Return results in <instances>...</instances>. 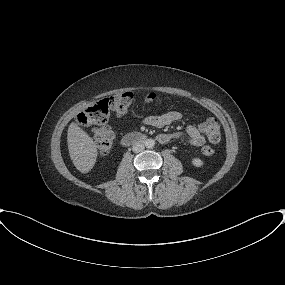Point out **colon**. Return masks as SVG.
<instances>
[{
    "mask_svg": "<svg viewBox=\"0 0 285 285\" xmlns=\"http://www.w3.org/2000/svg\"><path fill=\"white\" fill-rule=\"evenodd\" d=\"M135 99V95L131 92L119 93L97 102L78 114L77 120L81 125L95 129L97 149L100 154L106 155L109 153L114 142V133L106 125L109 116L111 114H126ZM162 100L163 99L155 93H150L143 97V101L146 104H157L162 102ZM201 129L207 135L211 143L218 144L220 142L221 128L216 119L208 117L201 124ZM202 153L206 156H211L214 154V149L211 146H204Z\"/></svg>",
    "mask_w": 285,
    "mask_h": 285,
    "instance_id": "5ec220e1",
    "label": "colon"
}]
</instances>
